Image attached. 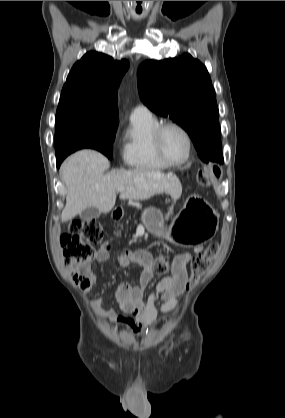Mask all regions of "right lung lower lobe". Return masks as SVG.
I'll list each match as a JSON object with an SVG mask.
<instances>
[{
	"instance_id": "right-lung-lower-lobe-1",
	"label": "right lung lower lobe",
	"mask_w": 285,
	"mask_h": 418,
	"mask_svg": "<svg viewBox=\"0 0 285 418\" xmlns=\"http://www.w3.org/2000/svg\"><path fill=\"white\" fill-rule=\"evenodd\" d=\"M64 159H56V164H57V167H59L60 166V164H61V162L63 161Z\"/></svg>"
}]
</instances>
